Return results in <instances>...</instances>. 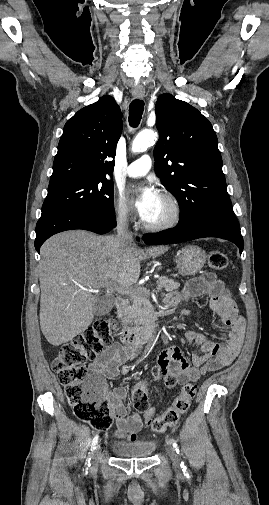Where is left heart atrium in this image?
Instances as JSON below:
<instances>
[{"mask_svg":"<svg viewBox=\"0 0 269 505\" xmlns=\"http://www.w3.org/2000/svg\"><path fill=\"white\" fill-rule=\"evenodd\" d=\"M159 198L160 193L151 184H145L135 189L134 208L143 220L150 216Z\"/></svg>","mask_w":269,"mask_h":505,"instance_id":"39dd6f15","label":"left heart atrium"}]
</instances>
